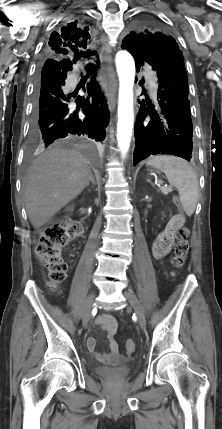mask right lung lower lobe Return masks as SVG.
I'll list each match as a JSON object with an SVG mask.
<instances>
[{"mask_svg":"<svg viewBox=\"0 0 222 429\" xmlns=\"http://www.w3.org/2000/svg\"><path fill=\"white\" fill-rule=\"evenodd\" d=\"M97 66L100 62L96 61ZM96 69V66L93 67ZM72 70L68 59L48 58L42 63L36 80V98L31 120V135L40 144L75 143L79 136L102 142L109 122V111L100 85L92 73L87 84L86 99L77 96V107L69 106L73 93L66 88L67 72Z\"/></svg>","mask_w":222,"mask_h":429,"instance_id":"98d812e1","label":"right lung lower lobe"}]
</instances>
